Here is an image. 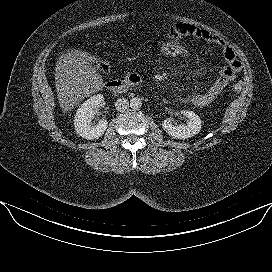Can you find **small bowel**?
Returning <instances> with one entry per match:
<instances>
[{
	"instance_id": "obj_1",
	"label": "small bowel",
	"mask_w": 272,
	"mask_h": 272,
	"mask_svg": "<svg viewBox=\"0 0 272 272\" xmlns=\"http://www.w3.org/2000/svg\"><path fill=\"white\" fill-rule=\"evenodd\" d=\"M169 37L177 40H180L183 37H193L215 44L220 48L225 61V66L220 70L217 79L204 92L195 93L181 99L183 103L192 104L197 107L208 106L221 94L228 84L234 80L241 69V64L238 61L234 50L219 36L191 24L175 23L169 30Z\"/></svg>"
}]
</instances>
